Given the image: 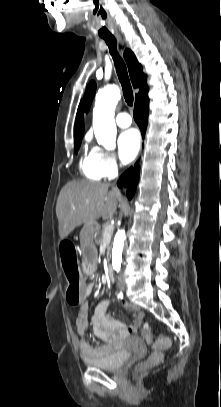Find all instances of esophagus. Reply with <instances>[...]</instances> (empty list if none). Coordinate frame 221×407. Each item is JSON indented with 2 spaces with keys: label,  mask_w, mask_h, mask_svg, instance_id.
<instances>
[{
  "label": "esophagus",
  "mask_w": 221,
  "mask_h": 407,
  "mask_svg": "<svg viewBox=\"0 0 221 407\" xmlns=\"http://www.w3.org/2000/svg\"><path fill=\"white\" fill-rule=\"evenodd\" d=\"M117 38H118V40H119L120 42L122 41L120 36H118Z\"/></svg>",
  "instance_id": "esophagus-1"
}]
</instances>
